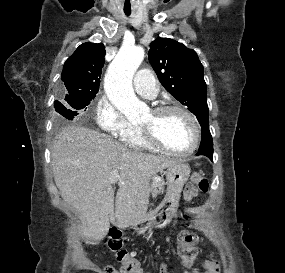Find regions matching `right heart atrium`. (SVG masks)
<instances>
[{
  "instance_id": "1",
  "label": "right heart atrium",
  "mask_w": 285,
  "mask_h": 273,
  "mask_svg": "<svg viewBox=\"0 0 285 273\" xmlns=\"http://www.w3.org/2000/svg\"><path fill=\"white\" fill-rule=\"evenodd\" d=\"M95 121L97 126L103 132L116 138H122L123 136L131 133L136 127L105 98L100 99L97 103L95 109Z\"/></svg>"
}]
</instances>
